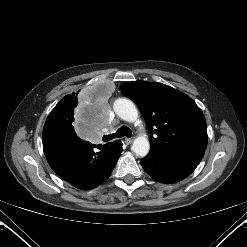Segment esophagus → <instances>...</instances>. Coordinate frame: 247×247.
Returning <instances> with one entry per match:
<instances>
[{
  "label": "esophagus",
  "mask_w": 247,
  "mask_h": 247,
  "mask_svg": "<svg viewBox=\"0 0 247 247\" xmlns=\"http://www.w3.org/2000/svg\"><path fill=\"white\" fill-rule=\"evenodd\" d=\"M125 143L127 144V145H129V144H131L132 142H133V139H131V138H125Z\"/></svg>",
  "instance_id": "1"
}]
</instances>
